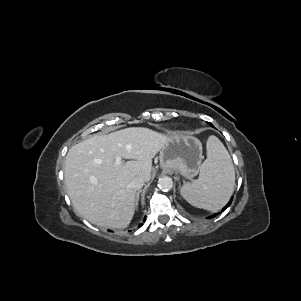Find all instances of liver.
I'll return each instance as SVG.
<instances>
[{
  "label": "liver",
  "mask_w": 301,
  "mask_h": 301,
  "mask_svg": "<svg viewBox=\"0 0 301 301\" xmlns=\"http://www.w3.org/2000/svg\"><path fill=\"white\" fill-rule=\"evenodd\" d=\"M169 139L148 128L130 127L93 135L72 146L65 158L64 178L76 211L101 227H127L135 212L131 181L136 176L150 180L152 159ZM116 157L121 158L120 165L115 164Z\"/></svg>",
  "instance_id": "6515ba94"
}]
</instances>
